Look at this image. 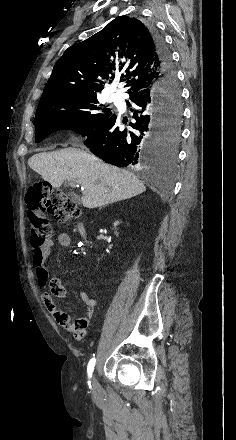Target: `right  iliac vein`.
<instances>
[{
  "mask_svg": "<svg viewBox=\"0 0 236 440\" xmlns=\"http://www.w3.org/2000/svg\"><path fill=\"white\" fill-rule=\"evenodd\" d=\"M92 386H93L94 390H98V388H99V385H98V382L96 380L95 375H93V377H92Z\"/></svg>",
  "mask_w": 236,
  "mask_h": 440,
  "instance_id": "63e3f726",
  "label": "right iliac vein"
}]
</instances>
